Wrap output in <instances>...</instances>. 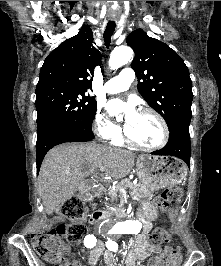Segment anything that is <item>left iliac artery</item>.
<instances>
[{"instance_id": "obj_1", "label": "left iliac artery", "mask_w": 221, "mask_h": 266, "mask_svg": "<svg viewBox=\"0 0 221 266\" xmlns=\"http://www.w3.org/2000/svg\"><path fill=\"white\" fill-rule=\"evenodd\" d=\"M112 234V233H111ZM106 247L110 250V251H114L116 252L118 250V244L115 241H112L110 239H108V241L106 242Z\"/></svg>"}]
</instances>
